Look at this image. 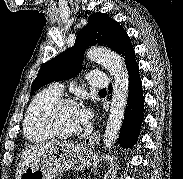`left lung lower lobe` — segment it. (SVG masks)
<instances>
[{"mask_svg":"<svg viewBox=\"0 0 183 179\" xmlns=\"http://www.w3.org/2000/svg\"><path fill=\"white\" fill-rule=\"evenodd\" d=\"M116 52L124 57L129 74L127 107L118 143L123 148H131L138 139L143 121L144 97L139 76V67L135 60V51L126 33L123 35Z\"/></svg>","mask_w":183,"mask_h":179,"instance_id":"obj_1","label":"left lung lower lobe"}]
</instances>
